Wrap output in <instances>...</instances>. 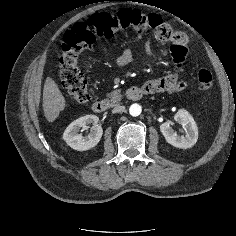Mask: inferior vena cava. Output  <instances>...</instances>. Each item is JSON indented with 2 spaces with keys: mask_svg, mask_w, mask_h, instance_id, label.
<instances>
[{
  "mask_svg": "<svg viewBox=\"0 0 236 236\" xmlns=\"http://www.w3.org/2000/svg\"><path fill=\"white\" fill-rule=\"evenodd\" d=\"M120 112H125V106H117L112 110V113H120Z\"/></svg>",
  "mask_w": 236,
  "mask_h": 236,
  "instance_id": "obj_1",
  "label": "inferior vena cava"
}]
</instances>
